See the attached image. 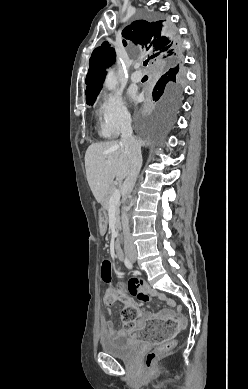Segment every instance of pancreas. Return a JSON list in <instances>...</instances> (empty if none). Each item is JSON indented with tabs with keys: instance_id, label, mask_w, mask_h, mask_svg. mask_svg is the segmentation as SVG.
Instances as JSON below:
<instances>
[{
	"instance_id": "1",
	"label": "pancreas",
	"mask_w": 248,
	"mask_h": 389,
	"mask_svg": "<svg viewBox=\"0 0 248 389\" xmlns=\"http://www.w3.org/2000/svg\"><path fill=\"white\" fill-rule=\"evenodd\" d=\"M116 187L115 185H111L108 189V192L107 194L105 195L103 201H102V212L103 214L107 215V211L109 209V200L111 198V196L113 195L114 191H115ZM119 204L116 205V215H117V229L119 230L120 229V223H119Z\"/></svg>"
}]
</instances>
